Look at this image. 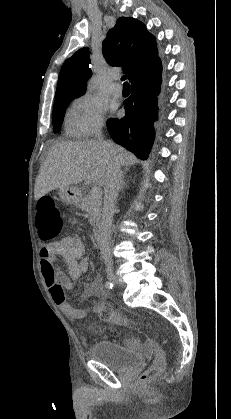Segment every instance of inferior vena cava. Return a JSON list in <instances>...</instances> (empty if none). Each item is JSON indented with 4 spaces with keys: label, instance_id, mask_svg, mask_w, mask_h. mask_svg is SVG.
Here are the masks:
<instances>
[{
    "label": "inferior vena cava",
    "instance_id": "1",
    "mask_svg": "<svg viewBox=\"0 0 231 419\" xmlns=\"http://www.w3.org/2000/svg\"><path fill=\"white\" fill-rule=\"evenodd\" d=\"M95 137L100 143H104L101 129H98ZM121 166L114 159L110 160L106 180L104 184V205L102 211V219L99 228L98 244L101 256L106 265L111 264V236L112 221L115 212L116 200L120 189Z\"/></svg>",
    "mask_w": 231,
    "mask_h": 419
}]
</instances>
